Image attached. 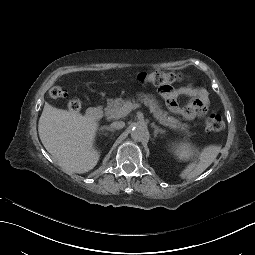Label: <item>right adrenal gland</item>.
<instances>
[{
    "instance_id": "obj_1",
    "label": "right adrenal gland",
    "mask_w": 255,
    "mask_h": 255,
    "mask_svg": "<svg viewBox=\"0 0 255 255\" xmlns=\"http://www.w3.org/2000/svg\"><path fill=\"white\" fill-rule=\"evenodd\" d=\"M103 129H106V130L111 131V132H114V131H115V129H113V128L110 127V126H102V127H101V130H103Z\"/></svg>"
}]
</instances>
